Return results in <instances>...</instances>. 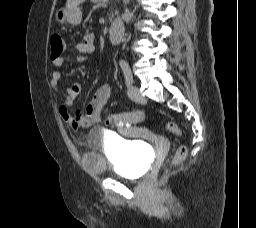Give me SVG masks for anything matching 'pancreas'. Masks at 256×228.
<instances>
[{"label": "pancreas", "instance_id": "cf45deb5", "mask_svg": "<svg viewBox=\"0 0 256 228\" xmlns=\"http://www.w3.org/2000/svg\"><path fill=\"white\" fill-rule=\"evenodd\" d=\"M93 3H98L100 2L101 0H91ZM104 2V0H102Z\"/></svg>", "mask_w": 256, "mask_h": 228}]
</instances>
